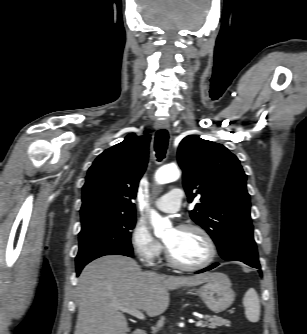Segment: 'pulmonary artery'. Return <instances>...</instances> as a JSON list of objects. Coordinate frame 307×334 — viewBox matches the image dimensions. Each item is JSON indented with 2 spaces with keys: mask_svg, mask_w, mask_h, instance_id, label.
I'll list each match as a JSON object with an SVG mask.
<instances>
[{
  "mask_svg": "<svg viewBox=\"0 0 307 334\" xmlns=\"http://www.w3.org/2000/svg\"><path fill=\"white\" fill-rule=\"evenodd\" d=\"M183 200L182 190L173 188L155 201L157 209L163 212H176L180 209Z\"/></svg>",
  "mask_w": 307,
  "mask_h": 334,
  "instance_id": "1",
  "label": "pulmonary artery"
}]
</instances>
